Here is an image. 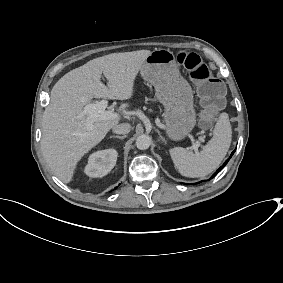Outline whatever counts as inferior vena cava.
<instances>
[{"mask_svg":"<svg viewBox=\"0 0 283 283\" xmlns=\"http://www.w3.org/2000/svg\"><path fill=\"white\" fill-rule=\"evenodd\" d=\"M131 125L129 123H122L112 128V131L118 134H127L130 132Z\"/></svg>","mask_w":283,"mask_h":283,"instance_id":"602c4592","label":"inferior vena cava"}]
</instances>
